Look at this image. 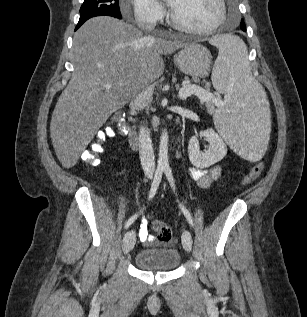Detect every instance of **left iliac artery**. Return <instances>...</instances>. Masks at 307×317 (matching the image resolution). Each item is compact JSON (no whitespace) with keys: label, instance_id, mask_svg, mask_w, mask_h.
<instances>
[{"label":"left iliac artery","instance_id":"1","mask_svg":"<svg viewBox=\"0 0 307 317\" xmlns=\"http://www.w3.org/2000/svg\"><path fill=\"white\" fill-rule=\"evenodd\" d=\"M164 171H165V174H166V177L175 193L176 191V187H175V183H174V179H173V174H172V171H171V168L169 166H165L164 167ZM179 207L181 208L184 216L186 217L188 223L193 226V219H192V216L190 214V212L186 209V207H184V205H182L181 203H179Z\"/></svg>","mask_w":307,"mask_h":317}]
</instances>
